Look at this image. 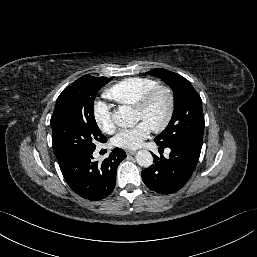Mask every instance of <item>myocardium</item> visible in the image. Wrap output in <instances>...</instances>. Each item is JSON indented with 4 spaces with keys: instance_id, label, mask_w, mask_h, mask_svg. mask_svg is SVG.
<instances>
[{
    "instance_id": "f54148a6",
    "label": "myocardium",
    "mask_w": 257,
    "mask_h": 257,
    "mask_svg": "<svg viewBox=\"0 0 257 257\" xmlns=\"http://www.w3.org/2000/svg\"><path fill=\"white\" fill-rule=\"evenodd\" d=\"M164 95L167 101V111L162 122L152 127V130L161 132L165 130L170 124L174 112H175V95L171 88L167 86L158 85L148 91L137 103L135 110L138 112H144L148 109L151 103L156 99L157 96Z\"/></svg>"
}]
</instances>
